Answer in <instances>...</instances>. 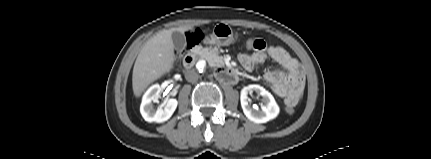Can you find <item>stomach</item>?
<instances>
[{
    "instance_id": "0dacf381",
    "label": "stomach",
    "mask_w": 431,
    "mask_h": 159,
    "mask_svg": "<svg viewBox=\"0 0 431 159\" xmlns=\"http://www.w3.org/2000/svg\"><path fill=\"white\" fill-rule=\"evenodd\" d=\"M204 42L211 45L228 46L234 42V34L227 24H217L212 34L205 37Z\"/></svg>"
}]
</instances>
